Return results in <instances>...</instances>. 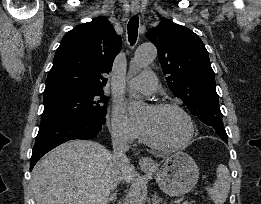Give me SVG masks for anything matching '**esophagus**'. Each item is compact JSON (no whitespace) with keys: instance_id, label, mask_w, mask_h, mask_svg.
Segmentation results:
<instances>
[{"instance_id":"34e87169","label":"esophagus","mask_w":261,"mask_h":204,"mask_svg":"<svg viewBox=\"0 0 261 204\" xmlns=\"http://www.w3.org/2000/svg\"><path fill=\"white\" fill-rule=\"evenodd\" d=\"M139 11V5H136V4H133L131 5V13L133 15L137 14ZM139 164L141 166V168L143 169H151L154 167V161L151 157H142L140 160H139Z\"/></svg>"}]
</instances>
